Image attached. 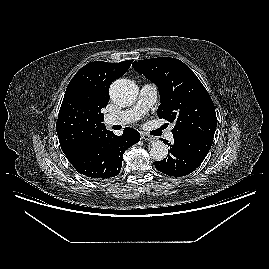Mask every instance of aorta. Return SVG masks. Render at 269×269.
<instances>
[{
    "label": "aorta",
    "instance_id": "762f6f07",
    "mask_svg": "<svg viewBox=\"0 0 269 269\" xmlns=\"http://www.w3.org/2000/svg\"><path fill=\"white\" fill-rule=\"evenodd\" d=\"M137 91V86L133 81L118 79L110 87V96L119 106H127L134 102ZM148 150L150 156L156 161H162L168 154L167 146L160 140L152 141Z\"/></svg>",
    "mask_w": 269,
    "mask_h": 269
}]
</instances>
